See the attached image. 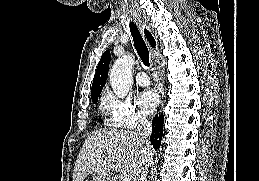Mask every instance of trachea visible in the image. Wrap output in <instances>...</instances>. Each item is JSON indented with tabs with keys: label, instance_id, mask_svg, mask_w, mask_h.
Instances as JSON below:
<instances>
[{
	"label": "trachea",
	"instance_id": "3493384b",
	"mask_svg": "<svg viewBox=\"0 0 259 181\" xmlns=\"http://www.w3.org/2000/svg\"><path fill=\"white\" fill-rule=\"evenodd\" d=\"M129 28H130V32H131V36L133 38V42H134V46L137 50V53L142 61V63L146 66L149 67L150 66V62H149V50L146 46V43L139 31V29L137 28V26L133 23L130 22L129 23Z\"/></svg>",
	"mask_w": 259,
	"mask_h": 181
}]
</instances>
